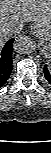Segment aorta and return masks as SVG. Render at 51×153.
I'll list each match as a JSON object with an SVG mask.
<instances>
[{
  "instance_id": "aorta-1",
  "label": "aorta",
  "mask_w": 51,
  "mask_h": 153,
  "mask_svg": "<svg viewBox=\"0 0 51 153\" xmlns=\"http://www.w3.org/2000/svg\"><path fill=\"white\" fill-rule=\"evenodd\" d=\"M34 47L33 39L28 35H20L16 37L13 48L14 51L19 54H26L30 52Z\"/></svg>"
}]
</instances>
